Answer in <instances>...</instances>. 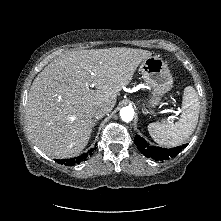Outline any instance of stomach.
Here are the masks:
<instances>
[{"label": "stomach", "instance_id": "0dacf381", "mask_svg": "<svg viewBox=\"0 0 221 221\" xmlns=\"http://www.w3.org/2000/svg\"><path fill=\"white\" fill-rule=\"evenodd\" d=\"M141 75L152 89V95L148 104L156 108L161 101L162 96L173 86V78L167 63L158 56H150L142 61L140 65Z\"/></svg>", "mask_w": 221, "mask_h": 221}]
</instances>
